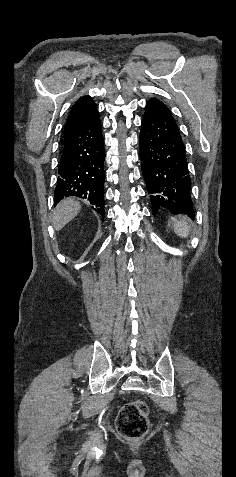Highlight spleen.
I'll list each match as a JSON object with an SVG mask.
<instances>
[{
	"label": "spleen",
	"mask_w": 236,
	"mask_h": 477,
	"mask_svg": "<svg viewBox=\"0 0 236 477\" xmlns=\"http://www.w3.org/2000/svg\"><path fill=\"white\" fill-rule=\"evenodd\" d=\"M190 226L186 220H176L174 222V230L181 237L186 238L188 236Z\"/></svg>",
	"instance_id": "3e777b00"
}]
</instances>
